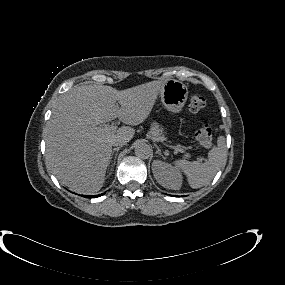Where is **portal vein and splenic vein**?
I'll list each match as a JSON object with an SVG mask.
<instances>
[{
	"mask_svg": "<svg viewBox=\"0 0 285 285\" xmlns=\"http://www.w3.org/2000/svg\"><path fill=\"white\" fill-rule=\"evenodd\" d=\"M95 129H97L99 131H106V130L115 131L116 130V126H114V125H110V126L104 125V126H100V127H95ZM165 146L174 149L175 152H181V153L184 152L183 149H181L179 147H176V146H170V145H167V144H165Z\"/></svg>",
	"mask_w": 285,
	"mask_h": 285,
	"instance_id": "18ae733b",
	"label": "portal vein and splenic vein"
}]
</instances>
